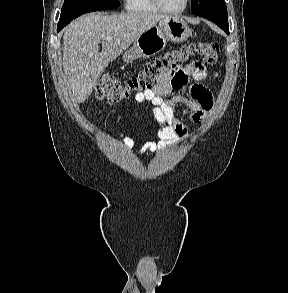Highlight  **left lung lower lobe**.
I'll use <instances>...</instances> for the list:
<instances>
[{
	"label": "left lung lower lobe",
	"mask_w": 288,
	"mask_h": 293,
	"mask_svg": "<svg viewBox=\"0 0 288 293\" xmlns=\"http://www.w3.org/2000/svg\"><path fill=\"white\" fill-rule=\"evenodd\" d=\"M225 32H226L227 34H229V30H226Z\"/></svg>",
	"instance_id": "0a47b994"
}]
</instances>
